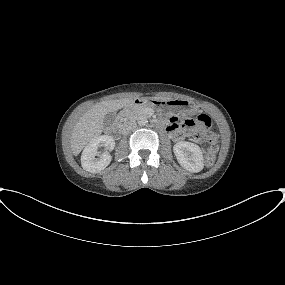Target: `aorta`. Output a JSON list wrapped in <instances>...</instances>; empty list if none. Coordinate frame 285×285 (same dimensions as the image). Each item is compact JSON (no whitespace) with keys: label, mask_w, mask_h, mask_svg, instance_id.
<instances>
[{"label":"aorta","mask_w":285,"mask_h":285,"mask_svg":"<svg viewBox=\"0 0 285 285\" xmlns=\"http://www.w3.org/2000/svg\"><path fill=\"white\" fill-rule=\"evenodd\" d=\"M137 122H138V124H139L140 126H144V125H146V124L148 123V119H147L146 116H140V117L138 118Z\"/></svg>","instance_id":"obj_1"}]
</instances>
